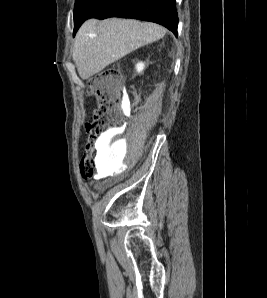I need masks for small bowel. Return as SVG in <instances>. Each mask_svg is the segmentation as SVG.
Segmentation results:
<instances>
[{"label": "small bowel", "mask_w": 267, "mask_h": 298, "mask_svg": "<svg viewBox=\"0 0 267 298\" xmlns=\"http://www.w3.org/2000/svg\"><path fill=\"white\" fill-rule=\"evenodd\" d=\"M118 131L116 130H111L108 133H106L105 138L107 141H113L117 136H118Z\"/></svg>", "instance_id": "obj_1"}]
</instances>
